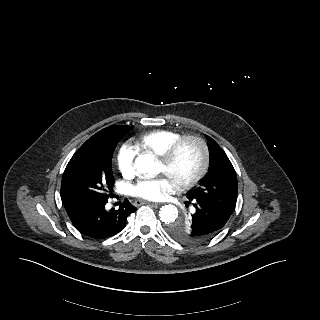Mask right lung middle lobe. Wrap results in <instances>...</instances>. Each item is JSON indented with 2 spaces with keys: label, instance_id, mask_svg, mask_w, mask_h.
Returning <instances> with one entry per match:
<instances>
[{
  "label": "right lung middle lobe",
  "instance_id": "1",
  "mask_svg": "<svg viewBox=\"0 0 320 320\" xmlns=\"http://www.w3.org/2000/svg\"><path fill=\"white\" fill-rule=\"evenodd\" d=\"M129 130L99 131L89 138L66 166L61 182V199L105 200L114 183L112 156Z\"/></svg>",
  "mask_w": 320,
  "mask_h": 320
}]
</instances>
